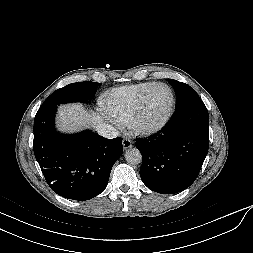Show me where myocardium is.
Here are the masks:
<instances>
[{
    "mask_svg": "<svg viewBox=\"0 0 253 253\" xmlns=\"http://www.w3.org/2000/svg\"><path fill=\"white\" fill-rule=\"evenodd\" d=\"M160 86L166 87L170 91V94H171V103H170V108L168 110V113L163 118V120L157 124H153V125L143 124L141 119H142V114H143L147 99L149 95L151 94V92ZM175 109H176V96L172 87L166 83H154L141 96L139 103L137 105V108L128 122V126L130 130L136 135H140V136L154 135L162 131L168 125V123L171 121L175 113Z\"/></svg>",
    "mask_w": 253,
    "mask_h": 253,
    "instance_id": "myocardium-1",
    "label": "myocardium"
}]
</instances>
